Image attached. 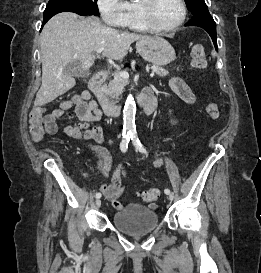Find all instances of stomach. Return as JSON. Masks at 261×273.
<instances>
[{
    "instance_id": "stomach-1",
    "label": "stomach",
    "mask_w": 261,
    "mask_h": 273,
    "mask_svg": "<svg viewBox=\"0 0 261 273\" xmlns=\"http://www.w3.org/2000/svg\"><path fill=\"white\" fill-rule=\"evenodd\" d=\"M136 49L143 59L157 66H165L176 57L174 48L162 37L138 40Z\"/></svg>"
}]
</instances>
